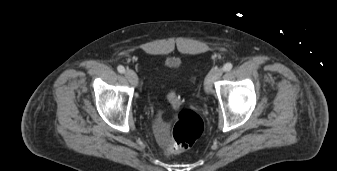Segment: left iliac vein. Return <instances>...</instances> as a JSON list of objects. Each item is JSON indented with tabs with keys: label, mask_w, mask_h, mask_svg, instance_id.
<instances>
[{
	"label": "left iliac vein",
	"mask_w": 337,
	"mask_h": 171,
	"mask_svg": "<svg viewBox=\"0 0 337 171\" xmlns=\"http://www.w3.org/2000/svg\"><path fill=\"white\" fill-rule=\"evenodd\" d=\"M222 74V69H214L207 75L204 83L205 91L207 93L211 92L213 83L218 80L222 76Z\"/></svg>",
	"instance_id": "1"
}]
</instances>
